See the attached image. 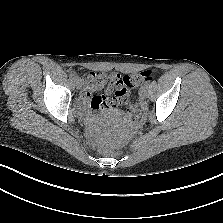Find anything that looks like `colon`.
<instances>
[{
    "mask_svg": "<svg viewBox=\"0 0 223 223\" xmlns=\"http://www.w3.org/2000/svg\"><path fill=\"white\" fill-rule=\"evenodd\" d=\"M152 78V72L146 70L140 74L125 75L116 77L111 81L115 95L119 98L121 104L128 106V113L134 122L141 121L143 114L136 103H130L129 92L131 89L139 86L142 82L149 81Z\"/></svg>",
    "mask_w": 223,
    "mask_h": 223,
    "instance_id": "colon-1",
    "label": "colon"
}]
</instances>
